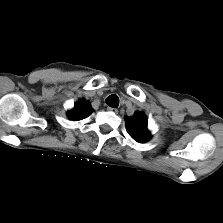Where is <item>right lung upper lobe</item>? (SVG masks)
<instances>
[{"label": "right lung upper lobe", "instance_id": "obj_1", "mask_svg": "<svg viewBox=\"0 0 223 223\" xmlns=\"http://www.w3.org/2000/svg\"><path fill=\"white\" fill-rule=\"evenodd\" d=\"M92 111L93 110L88 102L80 100L75 107L68 112V116L74 121L81 120L88 117Z\"/></svg>", "mask_w": 223, "mask_h": 223}]
</instances>
